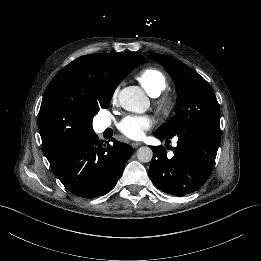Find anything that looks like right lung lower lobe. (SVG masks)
Returning <instances> with one entry per match:
<instances>
[{
  "label": "right lung lower lobe",
  "mask_w": 261,
  "mask_h": 261,
  "mask_svg": "<svg viewBox=\"0 0 261 261\" xmlns=\"http://www.w3.org/2000/svg\"><path fill=\"white\" fill-rule=\"evenodd\" d=\"M111 141L113 145H102L95 134L50 162L54 173L69 192L93 199L114 188L133 149L115 139Z\"/></svg>",
  "instance_id": "obj_1"
}]
</instances>
